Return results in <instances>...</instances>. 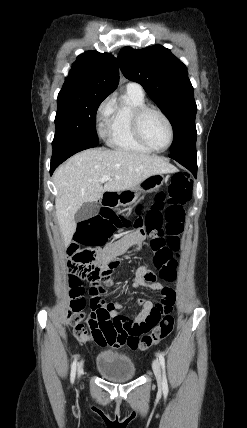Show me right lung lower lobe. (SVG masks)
I'll return each instance as SVG.
<instances>
[{"mask_svg": "<svg viewBox=\"0 0 247 428\" xmlns=\"http://www.w3.org/2000/svg\"><path fill=\"white\" fill-rule=\"evenodd\" d=\"M85 149H88V148L87 147H60V148L53 149V154H52L51 164H50V174L52 175L54 170L67 158Z\"/></svg>", "mask_w": 247, "mask_h": 428, "instance_id": "1", "label": "right lung lower lobe"}]
</instances>
